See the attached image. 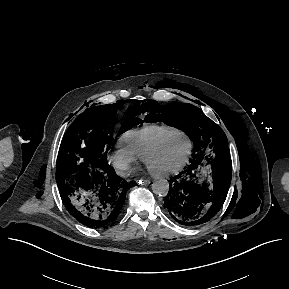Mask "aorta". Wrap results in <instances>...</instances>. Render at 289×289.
Masks as SVG:
<instances>
[{"mask_svg": "<svg viewBox=\"0 0 289 289\" xmlns=\"http://www.w3.org/2000/svg\"><path fill=\"white\" fill-rule=\"evenodd\" d=\"M151 186L154 194L161 197L167 196L169 191V182L166 179L157 180Z\"/></svg>", "mask_w": 289, "mask_h": 289, "instance_id": "obj_1", "label": "aorta"}]
</instances>
